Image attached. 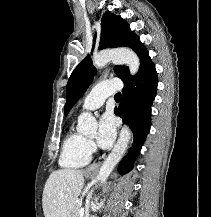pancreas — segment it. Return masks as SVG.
Listing matches in <instances>:
<instances>
[{
	"mask_svg": "<svg viewBox=\"0 0 211 217\" xmlns=\"http://www.w3.org/2000/svg\"><path fill=\"white\" fill-rule=\"evenodd\" d=\"M79 211H80V206L75 205L73 210H72V213H71L70 217H80Z\"/></svg>",
	"mask_w": 211,
	"mask_h": 217,
	"instance_id": "obj_1",
	"label": "pancreas"
}]
</instances>
